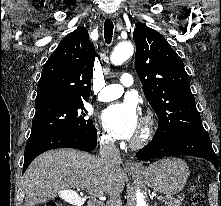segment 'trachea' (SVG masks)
<instances>
[{
    "instance_id": "trachea-1",
    "label": "trachea",
    "mask_w": 221,
    "mask_h": 206,
    "mask_svg": "<svg viewBox=\"0 0 221 206\" xmlns=\"http://www.w3.org/2000/svg\"><path fill=\"white\" fill-rule=\"evenodd\" d=\"M113 28H114L113 22L107 19L104 22V38H105L106 43L108 44H110L112 40Z\"/></svg>"
}]
</instances>
